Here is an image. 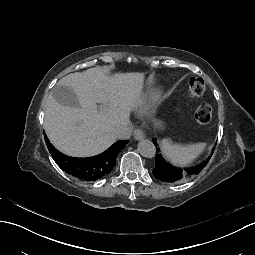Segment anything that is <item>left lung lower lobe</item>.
Here are the masks:
<instances>
[{
    "label": "left lung lower lobe",
    "instance_id": "left-lung-lower-lobe-1",
    "mask_svg": "<svg viewBox=\"0 0 255 255\" xmlns=\"http://www.w3.org/2000/svg\"><path fill=\"white\" fill-rule=\"evenodd\" d=\"M152 144L157 146L159 141L154 139ZM157 153L159 155H157L156 160L159 163L151 168L150 173L152 176L158 178L161 182H177L191 179L197 172H200L202 169H204L212 160V157L207 155L199 165L192 168V165L186 162H180L171 165L168 161L164 162L165 157L162 155L164 153L162 148H159Z\"/></svg>",
    "mask_w": 255,
    "mask_h": 255
}]
</instances>
